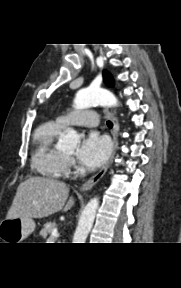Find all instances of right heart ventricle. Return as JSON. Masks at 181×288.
Returning <instances> with one entry per match:
<instances>
[{
	"label": "right heart ventricle",
	"mask_w": 181,
	"mask_h": 288,
	"mask_svg": "<svg viewBox=\"0 0 181 288\" xmlns=\"http://www.w3.org/2000/svg\"><path fill=\"white\" fill-rule=\"evenodd\" d=\"M64 129L56 121L42 124L35 132L32 166L44 176L56 178L66 169L67 156L57 145V138Z\"/></svg>",
	"instance_id": "e07e8e85"
}]
</instances>
